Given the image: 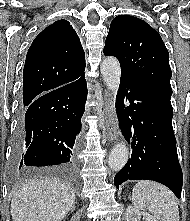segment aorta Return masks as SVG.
Returning <instances> with one entry per match:
<instances>
[{
  "instance_id": "aorta-1",
  "label": "aorta",
  "mask_w": 190,
  "mask_h": 221,
  "mask_svg": "<svg viewBox=\"0 0 190 221\" xmlns=\"http://www.w3.org/2000/svg\"><path fill=\"white\" fill-rule=\"evenodd\" d=\"M100 70L105 84L113 97H116L121 78L119 61L115 57H106L101 63ZM128 153L126 144L119 143L115 145L108 158L110 169L114 171L122 169L128 161Z\"/></svg>"
}]
</instances>
